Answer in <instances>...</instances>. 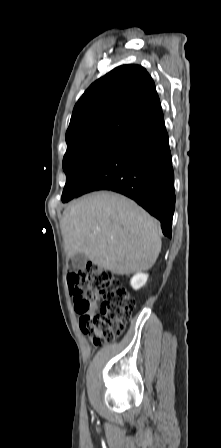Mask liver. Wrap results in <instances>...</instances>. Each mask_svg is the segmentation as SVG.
<instances>
[{
  "label": "liver",
  "instance_id": "6515ba94",
  "mask_svg": "<svg viewBox=\"0 0 221 448\" xmlns=\"http://www.w3.org/2000/svg\"><path fill=\"white\" fill-rule=\"evenodd\" d=\"M61 230L68 258L84 253L113 274L146 271L161 251L160 223L113 192H94L72 203L63 213Z\"/></svg>",
  "mask_w": 221,
  "mask_h": 448
}]
</instances>
